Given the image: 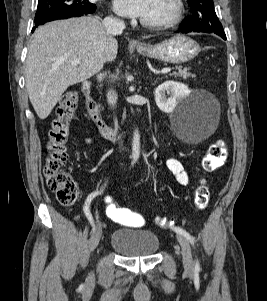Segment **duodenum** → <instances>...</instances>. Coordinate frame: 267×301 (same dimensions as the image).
<instances>
[{
    "label": "duodenum",
    "instance_id": "obj_1",
    "mask_svg": "<svg viewBox=\"0 0 267 301\" xmlns=\"http://www.w3.org/2000/svg\"><path fill=\"white\" fill-rule=\"evenodd\" d=\"M91 89H92V84L90 81L85 80L81 84V91H82V96H83V103L86 111L88 112L89 116L95 123L96 127L98 128L99 133L108 138H115L119 136L120 130L114 127H111L108 125L104 119L102 118L96 102L92 98L91 95Z\"/></svg>",
    "mask_w": 267,
    "mask_h": 301
}]
</instances>
